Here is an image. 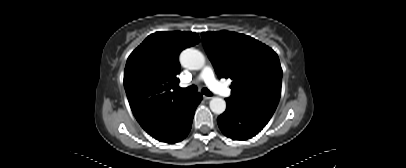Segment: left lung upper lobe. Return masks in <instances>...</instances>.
Here are the masks:
<instances>
[{"instance_id": "1", "label": "left lung upper lobe", "mask_w": 406, "mask_h": 168, "mask_svg": "<svg viewBox=\"0 0 406 168\" xmlns=\"http://www.w3.org/2000/svg\"><path fill=\"white\" fill-rule=\"evenodd\" d=\"M204 49L219 78H231V99L275 111L282 69L277 54L249 36L229 31L202 33Z\"/></svg>"}]
</instances>
